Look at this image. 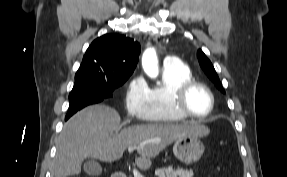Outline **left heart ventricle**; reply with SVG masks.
I'll return each instance as SVG.
<instances>
[{"label":"left heart ventricle","mask_w":287,"mask_h":177,"mask_svg":"<svg viewBox=\"0 0 287 177\" xmlns=\"http://www.w3.org/2000/svg\"><path fill=\"white\" fill-rule=\"evenodd\" d=\"M211 100L208 93L200 88H194L187 97V106L196 115H206L210 109Z\"/></svg>","instance_id":"left-heart-ventricle-1"}]
</instances>
